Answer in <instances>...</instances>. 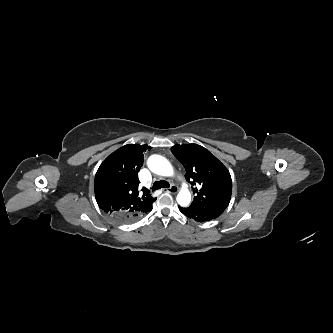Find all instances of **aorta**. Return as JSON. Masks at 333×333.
Here are the masks:
<instances>
[{
	"instance_id": "1",
	"label": "aorta",
	"mask_w": 333,
	"mask_h": 333,
	"mask_svg": "<svg viewBox=\"0 0 333 333\" xmlns=\"http://www.w3.org/2000/svg\"><path fill=\"white\" fill-rule=\"evenodd\" d=\"M148 168L155 174L161 176H171L173 168L170 162L160 155H152L148 159ZM191 194L188 189L183 188L177 195V202L180 206L186 207L190 204Z\"/></svg>"
}]
</instances>
